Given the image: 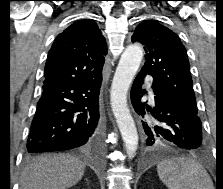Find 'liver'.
Returning a JSON list of instances; mask_svg holds the SVG:
<instances>
[{
    "label": "liver",
    "instance_id": "obj_1",
    "mask_svg": "<svg viewBox=\"0 0 223 189\" xmlns=\"http://www.w3.org/2000/svg\"><path fill=\"white\" fill-rule=\"evenodd\" d=\"M85 163L70 155L40 156L30 162L20 177V189H66L77 184Z\"/></svg>",
    "mask_w": 223,
    "mask_h": 189
}]
</instances>
